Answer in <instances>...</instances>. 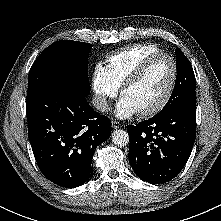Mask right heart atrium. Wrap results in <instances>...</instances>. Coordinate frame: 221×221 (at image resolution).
<instances>
[{"label":"right heart atrium","instance_id":"1","mask_svg":"<svg viewBox=\"0 0 221 221\" xmlns=\"http://www.w3.org/2000/svg\"><path fill=\"white\" fill-rule=\"evenodd\" d=\"M91 85L95 96L96 107L101 111L107 110L110 99L117 95L119 87L111 78L106 67L101 64L94 66Z\"/></svg>","mask_w":221,"mask_h":221}]
</instances>
